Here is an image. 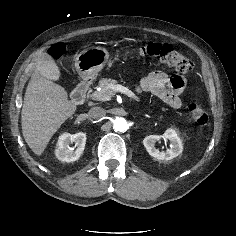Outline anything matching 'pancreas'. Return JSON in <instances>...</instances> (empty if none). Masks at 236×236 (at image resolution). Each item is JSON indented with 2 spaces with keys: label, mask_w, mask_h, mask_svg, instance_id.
<instances>
[{
  "label": "pancreas",
  "mask_w": 236,
  "mask_h": 236,
  "mask_svg": "<svg viewBox=\"0 0 236 236\" xmlns=\"http://www.w3.org/2000/svg\"><path fill=\"white\" fill-rule=\"evenodd\" d=\"M118 81L115 79H111V78H103L99 81V87L101 88L100 91H94L91 94V98L93 100H102L105 101L103 99L104 96H113L115 94V91H113L110 87L113 85H117Z\"/></svg>",
  "instance_id": "cf45deb5"
}]
</instances>
